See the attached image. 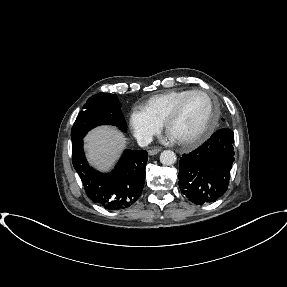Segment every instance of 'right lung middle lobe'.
<instances>
[{
	"label": "right lung middle lobe",
	"mask_w": 287,
	"mask_h": 287,
	"mask_svg": "<svg viewBox=\"0 0 287 287\" xmlns=\"http://www.w3.org/2000/svg\"><path fill=\"white\" fill-rule=\"evenodd\" d=\"M105 124L115 125L123 132L127 130L116 94L98 93L87 100L71 129L72 146L81 141L90 129Z\"/></svg>",
	"instance_id": "1"
}]
</instances>
